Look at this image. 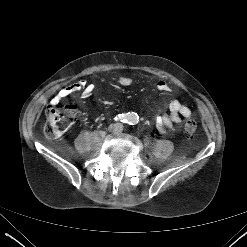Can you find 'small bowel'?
Instances as JSON below:
<instances>
[{
	"label": "small bowel",
	"mask_w": 247,
	"mask_h": 247,
	"mask_svg": "<svg viewBox=\"0 0 247 247\" xmlns=\"http://www.w3.org/2000/svg\"><path fill=\"white\" fill-rule=\"evenodd\" d=\"M118 83L121 86L127 87L132 84V79L127 76L118 78ZM156 87L159 91L170 92L171 86L164 80L157 82ZM81 91L83 98H88L94 91V85L88 84L85 80H80L62 88L58 94L52 99V103H59L61 100L68 98L75 93ZM192 112L189 107L180 103L178 100H172L169 103V113H165L156 118V126L161 133L171 128L174 123H179L182 119L189 118Z\"/></svg>",
	"instance_id": "c3829d8e"
}]
</instances>
